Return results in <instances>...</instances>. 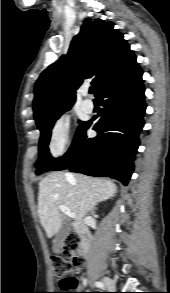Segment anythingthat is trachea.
Returning <instances> with one entry per match:
<instances>
[{
	"instance_id": "1",
	"label": "trachea",
	"mask_w": 170,
	"mask_h": 293,
	"mask_svg": "<svg viewBox=\"0 0 170 293\" xmlns=\"http://www.w3.org/2000/svg\"><path fill=\"white\" fill-rule=\"evenodd\" d=\"M93 91H94V89L91 87V88L89 89V93H90V94H93Z\"/></svg>"
}]
</instances>
